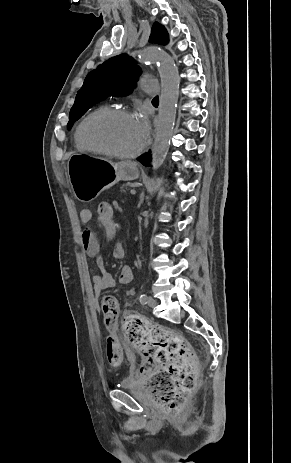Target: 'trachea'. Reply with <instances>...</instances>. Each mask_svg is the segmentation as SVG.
Masks as SVG:
<instances>
[{
    "mask_svg": "<svg viewBox=\"0 0 291 463\" xmlns=\"http://www.w3.org/2000/svg\"><path fill=\"white\" fill-rule=\"evenodd\" d=\"M159 98L158 97H155L152 101H158Z\"/></svg>",
    "mask_w": 291,
    "mask_h": 463,
    "instance_id": "trachea-1",
    "label": "trachea"
}]
</instances>
